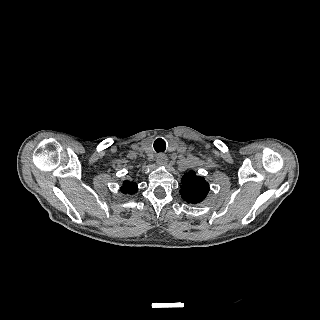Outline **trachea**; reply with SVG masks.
I'll use <instances>...</instances> for the list:
<instances>
[{"instance_id":"trachea-1","label":"trachea","mask_w":320,"mask_h":320,"mask_svg":"<svg viewBox=\"0 0 320 320\" xmlns=\"http://www.w3.org/2000/svg\"><path fill=\"white\" fill-rule=\"evenodd\" d=\"M153 146L157 153L164 152L166 149V143L161 138L156 139Z\"/></svg>"}]
</instances>
